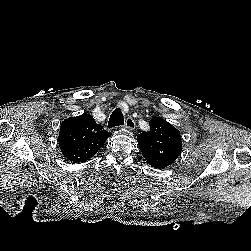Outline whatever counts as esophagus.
Segmentation results:
<instances>
[{
    "label": "esophagus",
    "mask_w": 251,
    "mask_h": 251,
    "mask_svg": "<svg viewBox=\"0 0 251 251\" xmlns=\"http://www.w3.org/2000/svg\"><path fill=\"white\" fill-rule=\"evenodd\" d=\"M124 126L128 130L133 131L135 129V122H134V120L131 117H127Z\"/></svg>",
    "instance_id": "obj_1"
}]
</instances>
